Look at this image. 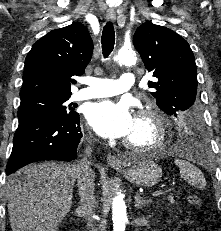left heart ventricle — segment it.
I'll list each match as a JSON object with an SVG mask.
<instances>
[{"instance_id": "1", "label": "left heart ventricle", "mask_w": 221, "mask_h": 231, "mask_svg": "<svg viewBox=\"0 0 221 231\" xmlns=\"http://www.w3.org/2000/svg\"><path fill=\"white\" fill-rule=\"evenodd\" d=\"M126 138L136 143H147L153 140L154 130L147 122L135 119L134 128Z\"/></svg>"}]
</instances>
